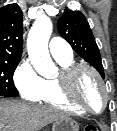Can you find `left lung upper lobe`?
Listing matches in <instances>:
<instances>
[{
    "label": "left lung upper lobe",
    "instance_id": "1",
    "mask_svg": "<svg viewBox=\"0 0 117 131\" xmlns=\"http://www.w3.org/2000/svg\"><path fill=\"white\" fill-rule=\"evenodd\" d=\"M57 27L74 51L104 78L100 52L85 16L79 11L67 10L58 19Z\"/></svg>",
    "mask_w": 117,
    "mask_h": 131
}]
</instances>
